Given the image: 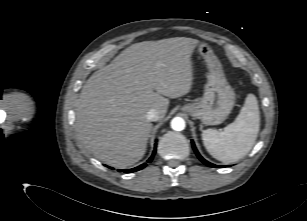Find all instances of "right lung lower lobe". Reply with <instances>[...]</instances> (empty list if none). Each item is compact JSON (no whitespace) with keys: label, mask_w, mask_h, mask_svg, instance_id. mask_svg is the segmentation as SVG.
<instances>
[{"label":"right lung lower lobe","mask_w":307,"mask_h":221,"mask_svg":"<svg viewBox=\"0 0 307 221\" xmlns=\"http://www.w3.org/2000/svg\"><path fill=\"white\" fill-rule=\"evenodd\" d=\"M155 147H156V146H155ZM155 153H156V149L153 151L152 156L148 159L147 162H151V161H152V159H153ZM145 166H146V163H144V164H142V165H140V166H138V167H135V168H132V169H126V170H123V171H124L125 173H131V172L138 171V170L144 168ZM109 168H111V167H109ZM111 169H113V168H111ZM121 171H122V170H119V172H121Z\"/></svg>","instance_id":"98d812e1"}]
</instances>
